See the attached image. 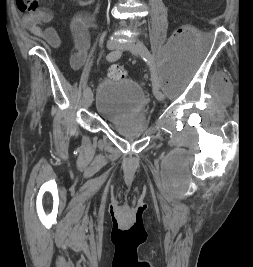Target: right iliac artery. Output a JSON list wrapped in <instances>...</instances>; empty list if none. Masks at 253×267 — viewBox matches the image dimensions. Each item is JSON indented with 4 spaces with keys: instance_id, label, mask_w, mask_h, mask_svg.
Here are the masks:
<instances>
[{
    "instance_id": "1",
    "label": "right iliac artery",
    "mask_w": 253,
    "mask_h": 267,
    "mask_svg": "<svg viewBox=\"0 0 253 267\" xmlns=\"http://www.w3.org/2000/svg\"><path fill=\"white\" fill-rule=\"evenodd\" d=\"M121 55H122L121 50L112 51L107 55L106 59L109 62H114V61L118 60L121 57ZM88 92H90V88L85 87L84 88V95H86Z\"/></svg>"
}]
</instances>
